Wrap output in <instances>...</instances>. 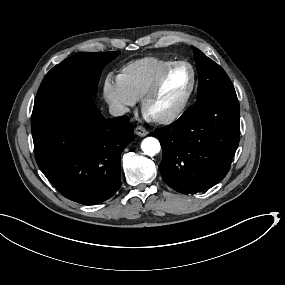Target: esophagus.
Here are the masks:
<instances>
[{
  "label": "esophagus",
  "instance_id": "34e87169",
  "mask_svg": "<svg viewBox=\"0 0 285 285\" xmlns=\"http://www.w3.org/2000/svg\"><path fill=\"white\" fill-rule=\"evenodd\" d=\"M135 133L140 137H144L148 134V131L143 126H137L135 128Z\"/></svg>",
  "mask_w": 285,
  "mask_h": 285
}]
</instances>
